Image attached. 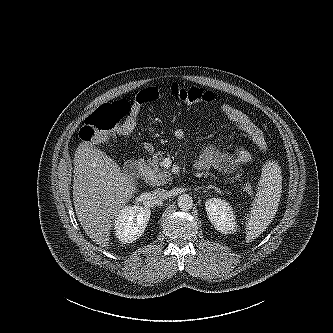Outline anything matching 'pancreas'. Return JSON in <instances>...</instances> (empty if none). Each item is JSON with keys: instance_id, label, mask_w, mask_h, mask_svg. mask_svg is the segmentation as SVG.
Returning a JSON list of instances; mask_svg holds the SVG:
<instances>
[{"instance_id": "1", "label": "pancreas", "mask_w": 333, "mask_h": 333, "mask_svg": "<svg viewBox=\"0 0 333 333\" xmlns=\"http://www.w3.org/2000/svg\"><path fill=\"white\" fill-rule=\"evenodd\" d=\"M162 153L158 152L148 160V167L145 171L146 178L152 186L164 185L171 180V173L162 166Z\"/></svg>"}]
</instances>
